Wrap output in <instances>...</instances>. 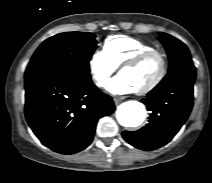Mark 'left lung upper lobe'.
Instances as JSON below:
<instances>
[{
    "label": "left lung upper lobe",
    "mask_w": 212,
    "mask_h": 183,
    "mask_svg": "<svg viewBox=\"0 0 212 183\" xmlns=\"http://www.w3.org/2000/svg\"><path fill=\"white\" fill-rule=\"evenodd\" d=\"M158 39L167 51L169 57V70L176 64H179L184 60L191 59L188 48L180 40L162 32L159 33Z\"/></svg>",
    "instance_id": "1"
}]
</instances>
